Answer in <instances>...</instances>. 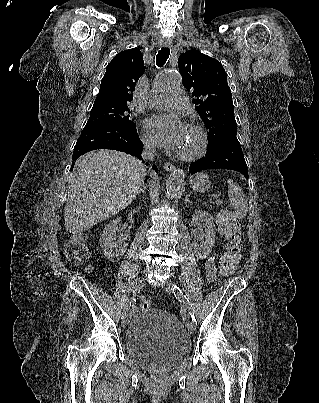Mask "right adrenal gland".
Wrapping results in <instances>:
<instances>
[{
    "mask_svg": "<svg viewBox=\"0 0 319 403\" xmlns=\"http://www.w3.org/2000/svg\"><path fill=\"white\" fill-rule=\"evenodd\" d=\"M140 192L146 193V186L144 182H142L141 187L138 190L137 194H139Z\"/></svg>",
    "mask_w": 319,
    "mask_h": 403,
    "instance_id": "2a0ac1e0",
    "label": "right adrenal gland"
}]
</instances>
